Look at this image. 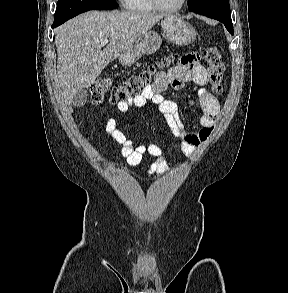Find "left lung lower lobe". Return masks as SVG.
Returning a JSON list of instances; mask_svg holds the SVG:
<instances>
[{
	"instance_id": "obj_1",
	"label": "left lung lower lobe",
	"mask_w": 288,
	"mask_h": 293,
	"mask_svg": "<svg viewBox=\"0 0 288 293\" xmlns=\"http://www.w3.org/2000/svg\"><path fill=\"white\" fill-rule=\"evenodd\" d=\"M222 22L225 27L227 28V30L233 35L234 34V30H233V24L232 22H226V21H220Z\"/></svg>"
}]
</instances>
